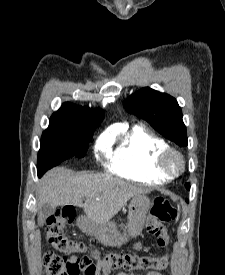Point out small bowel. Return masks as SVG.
<instances>
[{
    "instance_id": "1",
    "label": "small bowel",
    "mask_w": 225,
    "mask_h": 275,
    "mask_svg": "<svg viewBox=\"0 0 225 275\" xmlns=\"http://www.w3.org/2000/svg\"><path fill=\"white\" fill-rule=\"evenodd\" d=\"M140 248H141V243L136 244V249H140ZM71 259L73 261H77V260L83 261L88 265H90L93 271L89 275H144L142 273H135V272H119L117 274H113L111 268L106 266L98 257H95L94 255H91V254L85 255L81 258L73 255ZM145 275H163V274L157 271H150Z\"/></svg>"
}]
</instances>
